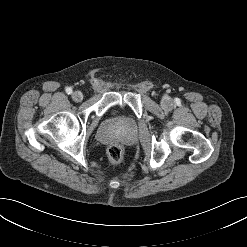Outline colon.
<instances>
[{
    "instance_id": "1",
    "label": "colon",
    "mask_w": 247,
    "mask_h": 247,
    "mask_svg": "<svg viewBox=\"0 0 247 247\" xmlns=\"http://www.w3.org/2000/svg\"><path fill=\"white\" fill-rule=\"evenodd\" d=\"M108 158L114 164H121L124 161V150L119 144H112L108 148Z\"/></svg>"
}]
</instances>
